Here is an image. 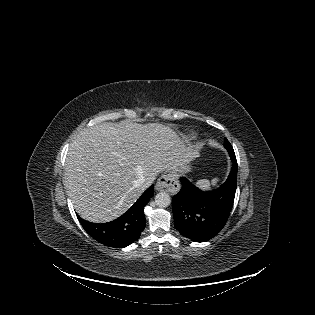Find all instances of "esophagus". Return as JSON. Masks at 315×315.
I'll return each instance as SVG.
<instances>
[{"mask_svg":"<svg viewBox=\"0 0 315 315\" xmlns=\"http://www.w3.org/2000/svg\"><path fill=\"white\" fill-rule=\"evenodd\" d=\"M155 187L157 191H167L175 194L179 191L180 184L177 176L173 172H168L158 179Z\"/></svg>","mask_w":315,"mask_h":315,"instance_id":"esophagus-1","label":"esophagus"}]
</instances>
